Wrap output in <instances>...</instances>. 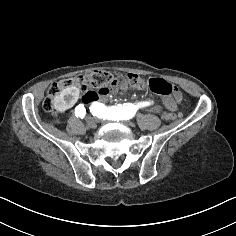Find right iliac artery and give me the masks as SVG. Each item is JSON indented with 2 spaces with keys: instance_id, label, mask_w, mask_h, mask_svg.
Segmentation results:
<instances>
[{
  "instance_id": "right-iliac-artery-1",
  "label": "right iliac artery",
  "mask_w": 236,
  "mask_h": 236,
  "mask_svg": "<svg viewBox=\"0 0 236 236\" xmlns=\"http://www.w3.org/2000/svg\"><path fill=\"white\" fill-rule=\"evenodd\" d=\"M86 114V109L84 107L83 104H79L76 108H75V116L78 118L80 117L81 119L84 118Z\"/></svg>"
}]
</instances>
